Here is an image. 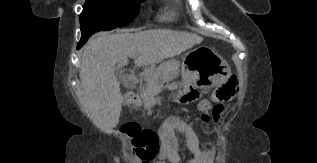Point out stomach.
Returning <instances> with one entry per match:
<instances>
[{
	"instance_id": "1",
	"label": "stomach",
	"mask_w": 317,
	"mask_h": 163,
	"mask_svg": "<svg viewBox=\"0 0 317 163\" xmlns=\"http://www.w3.org/2000/svg\"><path fill=\"white\" fill-rule=\"evenodd\" d=\"M205 59L194 67L182 64V79L185 83H199L210 89L223 83L230 75L228 63L213 49L206 48Z\"/></svg>"
}]
</instances>
